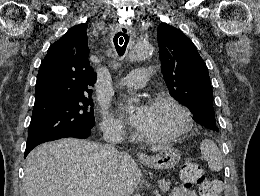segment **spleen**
I'll list each match as a JSON object with an SVG mask.
<instances>
[{
  "label": "spleen",
  "instance_id": "obj_1",
  "mask_svg": "<svg viewBox=\"0 0 260 196\" xmlns=\"http://www.w3.org/2000/svg\"><path fill=\"white\" fill-rule=\"evenodd\" d=\"M200 150L202 158L208 162L210 170H213V172L222 170L223 162L221 152H219V148H217L212 140H202Z\"/></svg>",
  "mask_w": 260,
  "mask_h": 196
}]
</instances>
